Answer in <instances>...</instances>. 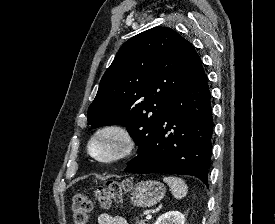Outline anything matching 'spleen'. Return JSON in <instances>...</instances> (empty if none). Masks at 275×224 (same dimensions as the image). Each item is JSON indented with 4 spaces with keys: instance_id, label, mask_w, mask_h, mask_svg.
<instances>
[{
    "instance_id": "3e777b00",
    "label": "spleen",
    "mask_w": 275,
    "mask_h": 224,
    "mask_svg": "<svg viewBox=\"0 0 275 224\" xmlns=\"http://www.w3.org/2000/svg\"><path fill=\"white\" fill-rule=\"evenodd\" d=\"M163 181L168 184L173 196L176 199H181L186 196L187 185L183 179L174 176H168L164 177Z\"/></svg>"
}]
</instances>
